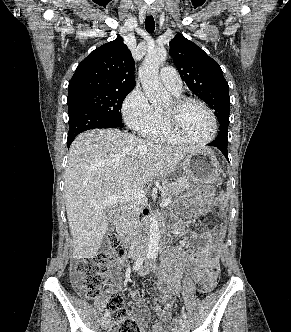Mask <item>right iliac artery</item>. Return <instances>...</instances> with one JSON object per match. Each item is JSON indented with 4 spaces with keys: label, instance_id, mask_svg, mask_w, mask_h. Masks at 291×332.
Here are the masks:
<instances>
[{
    "label": "right iliac artery",
    "instance_id": "obj_1",
    "mask_svg": "<svg viewBox=\"0 0 291 332\" xmlns=\"http://www.w3.org/2000/svg\"><path fill=\"white\" fill-rule=\"evenodd\" d=\"M147 258H150L149 256H147ZM143 261H144V258L143 257H140L136 260V262L134 263L133 265V271H138L140 269V267L142 266L143 264ZM110 314V312L107 310L105 313H104V316L105 317H108Z\"/></svg>",
    "mask_w": 291,
    "mask_h": 332
}]
</instances>
